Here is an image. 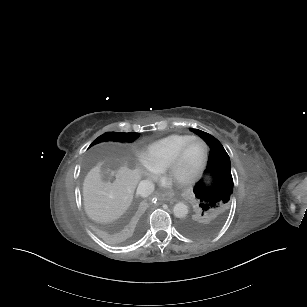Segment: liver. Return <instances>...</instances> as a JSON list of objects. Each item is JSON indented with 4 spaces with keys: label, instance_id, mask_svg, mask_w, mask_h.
Instances as JSON below:
<instances>
[{
    "label": "liver",
    "instance_id": "1",
    "mask_svg": "<svg viewBox=\"0 0 307 307\" xmlns=\"http://www.w3.org/2000/svg\"><path fill=\"white\" fill-rule=\"evenodd\" d=\"M139 178L138 165L129 156L99 159L83 184L89 217L99 222L119 218L130 205Z\"/></svg>",
    "mask_w": 307,
    "mask_h": 307
}]
</instances>
